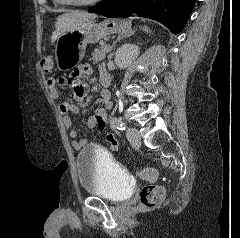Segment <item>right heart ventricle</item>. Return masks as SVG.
I'll use <instances>...</instances> for the list:
<instances>
[{"mask_svg": "<svg viewBox=\"0 0 240 238\" xmlns=\"http://www.w3.org/2000/svg\"><path fill=\"white\" fill-rule=\"evenodd\" d=\"M56 3H62L60 0H54Z\"/></svg>", "mask_w": 240, "mask_h": 238, "instance_id": "right-heart-ventricle-1", "label": "right heart ventricle"}]
</instances>
